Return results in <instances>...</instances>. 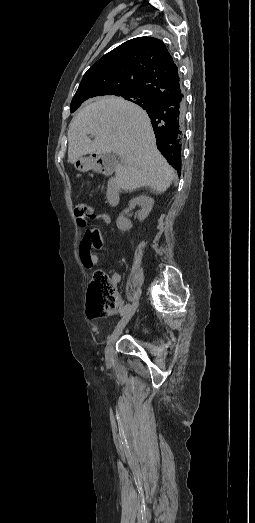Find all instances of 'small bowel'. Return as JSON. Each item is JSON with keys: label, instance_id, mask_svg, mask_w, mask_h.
Masks as SVG:
<instances>
[{"label": "small bowel", "instance_id": "c3829d8e", "mask_svg": "<svg viewBox=\"0 0 255 523\" xmlns=\"http://www.w3.org/2000/svg\"><path fill=\"white\" fill-rule=\"evenodd\" d=\"M93 219L102 223H110V217L106 214H97L93 216ZM102 240L100 231L95 226H90L86 228L84 235L82 237L79 255L82 263L87 268H92L98 263L97 251L101 249ZM121 280V275L117 272L113 273L111 276V281L116 286Z\"/></svg>", "mask_w": 255, "mask_h": 523}]
</instances>
